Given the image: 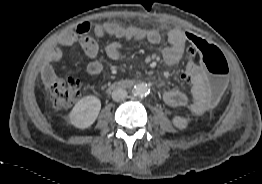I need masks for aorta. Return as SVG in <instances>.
Returning a JSON list of instances; mask_svg holds the SVG:
<instances>
[{
  "label": "aorta",
  "instance_id": "aorta-1",
  "mask_svg": "<svg viewBox=\"0 0 262 184\" xmlns=\"http://www.w3.org/2000/svg\"><path fill=\"white\" fill-rule=\"evenodd\" d=\"M149 93V87L147 84L140 83L134 86L133 94L135 96H146Z\"/></svg>",
  "mask_w": 262,
  "mask_h": 184
}]
</instances>
